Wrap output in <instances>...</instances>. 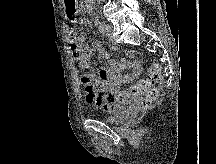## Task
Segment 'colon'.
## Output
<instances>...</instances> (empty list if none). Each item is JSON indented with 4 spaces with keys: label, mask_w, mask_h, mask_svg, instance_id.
Listing matches in <instances>:
<instances>
[{
    "label": "colon",
    "mask_w": 216,
    "mask_h": 164,
    "mask_svg": "<svg viewBox=\"0 0 216 164\" xmlns=\"http://www.w3.org/2000/svg\"><path fill=\"white\" fill-rule=\"evenodd\" d=\"M163 82L161 66L158 63H153L146 77L139 79L116 96H110L109 99L116 104H126L131 100H138L140 109L147 111L158 98Z\"/></svg>",
    "instance_id": "colon-1"
}]
</instances>
